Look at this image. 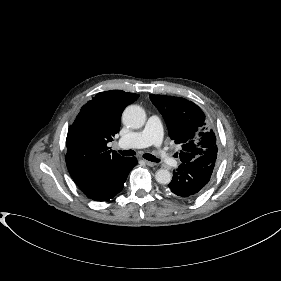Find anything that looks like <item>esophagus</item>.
<instances>
[{"label":"esophagus","instance_id":"1","mask_svg":"<svg viewBox=\"0 0 281 281\" xmlns=\"http://www.w3.org/2000/svg\"><path fill=\"white\" fill-rule=\"evenodd\" d=\"M144 163H145L147 166H150V167H153V166L156 165L154 162H151V161H148V160H144Z\"/></svg>","mask_w":281,"mask_h":281}]
</instances>
